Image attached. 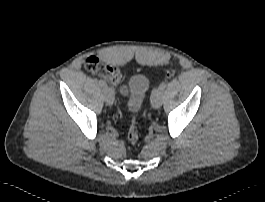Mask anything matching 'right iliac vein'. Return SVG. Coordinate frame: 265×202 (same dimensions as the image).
Returning <instances> with one entry per match:
<instances>
[{"mask_svg":"<svg viewBox=\"0 0 265 202\" xmlns=\"http://www.w3.org/2000/svg\"><path fill=\"white\" fill-rule=\"evenodd\" d=\"M103 97H104V100L105 102L108 104V105H112L113 102H114V91L112 88L110 87H106L104 90H103Z\"/></svg>","mask_w":265,"mask_h":202,"instance_id":"right-iliac-vein-1","label":"right iliac vein"}]
</instances>
